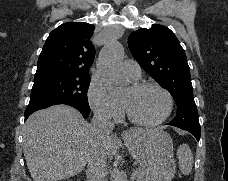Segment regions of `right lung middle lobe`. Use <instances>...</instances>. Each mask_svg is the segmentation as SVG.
Segmentation results:
<instances>
[{
    "instance_id": "right-lung-middle-lobe-1",
    "label": "right lung middle lobe",
    "mask_w": 228,
    "mask_h": 181,
    "mask_svg": "<svg viewBox=\"0 0 228 181\" xmlns=\"http://www.w3.org/2000/svg\"><path fill=\"white\" fill-rule=\"evenodd\" d=\"M90 77L51 74L34 78L29 105L62 102L90 112L87 91Z\"/></svg>"
}]
</instances>
